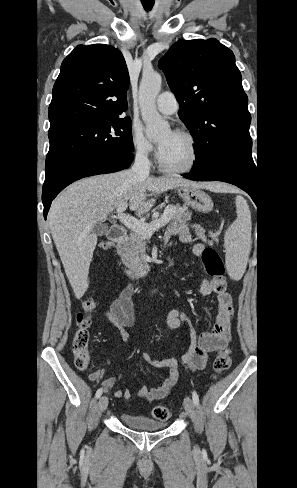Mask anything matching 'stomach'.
Listing matches in <instances>:
<instances>
[{"instance_id":"stomach-1","label":"stomach","mask_w":297,"mask_h":488,"mask_svg":"<svg viewBox=\"0 0 297 488\" xmlns=\"http://www.w3.org/2000/svg\"><path fill=\"white\" fill-rule=\"evenodd\" d=\"M177 192L187 205L198 212L208 213L213 209L212 199L200 188L179 187Z\"/></svg>"}]
</instances>
